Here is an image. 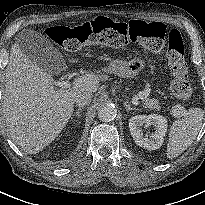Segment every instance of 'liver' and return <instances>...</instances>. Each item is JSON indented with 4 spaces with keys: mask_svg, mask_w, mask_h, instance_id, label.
<instances>
[{
    "mask_svg": "<svg viewBox=\"0 0 205 205\" xmlns=\"http://www.w3.org/2000/svg\"><path fill=\"white\" fill-rule=\"evenodd\" d=\"M5 77L3 116L11 138L29 154L41 151L60 134L79 93H94L99 87V77L86 73L69 88L56 89L51 75L34 64L17 42L11 47Z\"/></svg>",
    "mask_w": 205,
    "mask_h": 205,
    "instance_id": "liver-1",
    "label": "liver"
}]
</instances>
